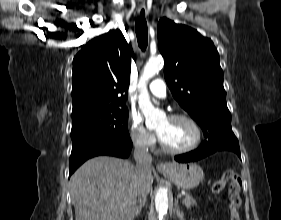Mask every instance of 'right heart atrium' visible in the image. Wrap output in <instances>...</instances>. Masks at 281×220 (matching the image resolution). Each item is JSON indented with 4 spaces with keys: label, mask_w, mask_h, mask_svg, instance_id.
I'll return each mask as SVG.
<instances>
[{
    "label": "right heart atrium",
    "mask_w": 281,
    "mask_h": 220,
    "mask_svg": "<svg viewBox=\"0 0 281 220\" xmlns=\"http://www.w3.org/2000/svg\"><path fill=\"white\" fill-rule=\"evenodd\" d=\"M128 129L130 140L137 149L148 151L155 147V136L144 127L138 116L130 117Z\"/></svg>",
    "instance_id": "right-heart-atrium-1"
}]
</instances>
